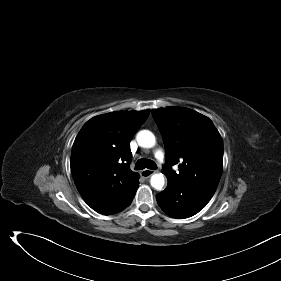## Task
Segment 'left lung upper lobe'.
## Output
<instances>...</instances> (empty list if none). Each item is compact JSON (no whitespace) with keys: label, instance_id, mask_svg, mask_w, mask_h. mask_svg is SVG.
I'll return each mask as SVG.
<instances>
[{"label":"left lung upper lobe","instance_id":"5c2ea615","mask_svg":"<svg viewBox=\"0 0 281 281\" xmlns=\"http://www.w3.org/2000/svg\"><path fill=\"white\" fill-rule=\"evenodd\" d=\"M161 132L169 166L179 163V172L164 167L168 181L190 184L215 193L223 170V140L212 121L190 109L167 107L152 111Z\"/></svg>","mask_w":281,"mask_h":281}]
</instances>
